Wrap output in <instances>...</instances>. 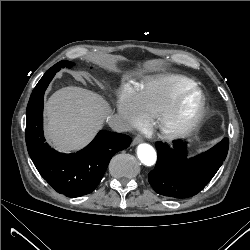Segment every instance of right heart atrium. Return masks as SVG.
<instances>
[{"mask_svg":"<svg viewBox=\"0 0 250 250\" xmlns=\"http://www.w3.org/2000/svg\"><path fill=\"white\" fill-rule=\"evenodd\" d=\"M118 111L126 128H139L147 123L143 108L135 92L129 89H125L121 93Z\"/></svg>","mask_w":250,"mask_h":250,"instance_id":"1","label":"right heart atrium"}]
</instances>
